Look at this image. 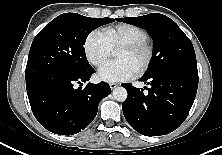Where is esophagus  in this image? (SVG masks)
I'll list each match as a JSON object with an SVG mask.
<instances>
[{
    "label": "esophagus",
    "instance_id": "34e87169",
    "mask_svg": "<svg viewBox=\"0 0 222 155\" xmlns=\"http://www.w3.org/2000/svg\"><path fill=\"white\" fill-rule=\"evenodd\" d=\"M109 86H110V88L113 90V89H115V88L118 86V84H116V83H110Z\"/></svg>",
    "mask_w": 222,
    "mask_h": 155
}]
</instances>
